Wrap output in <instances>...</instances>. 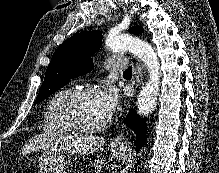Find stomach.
<instances>
[{"mask_svg":"<svg viewBox=\"0 0 219 173\" xmlns=\"http://www.w3.org/2000/svg\"><path fill=\"white\" fill-rule=\"evenodd\" d=\"M113 158L122 160L127 155L123 146H112ZM40 173H66V161L62 151L48 149L43 152L38 160Z\"/></svg>","mask_w":219,"mask_h":173,"instance_id":"1","label":"stomach"}]
</instances>
